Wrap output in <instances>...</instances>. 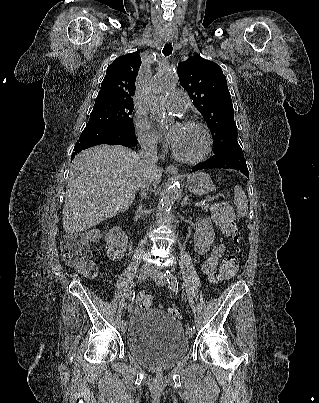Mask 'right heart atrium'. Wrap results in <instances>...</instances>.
<instances>
[{
	"label": "right heart atrium",
	"mask_w": 319,
	"mask_h": 403,
	"mask_svg": "<svg viewBox=\"0 0 319 403\" xmlns=\"http://www.w3.org/2000/svg\"><path fill=\"white\" fill-rule=\"evenodd\" d=\"M135 130L139 143L143 148L149 151H157L159 139L148 119L138 114L135 118Z\"/></svg>",
	"instance_id": "obj_1"
}]
</instances>
